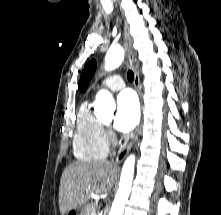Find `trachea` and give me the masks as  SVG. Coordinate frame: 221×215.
Masks as SVG:
<instances>
[{"mask_svg":"<svg viewBox=\"0 0 221 215\" xmlns=\"http://www.w3.org/2000/svg\"><path fill=\"white\" fill-rule=\"evenodd\" d=\"M127 78L130 82H132L134 80V74L131 70L128 71Z\"/></svg>","mask_w":221,"mask_h":215,"instance_id":"3493384b","label":"trachea"}]
</instances>
